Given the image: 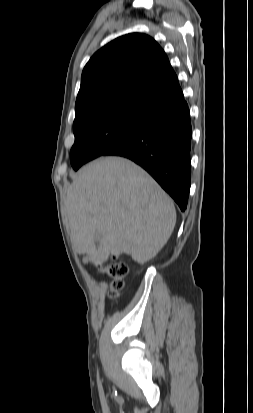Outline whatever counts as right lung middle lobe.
<instances>
[{
	"label": "right lung middle lobe",
	"mask_w": 253,
	"mask_h": 413,
	"mask_svg": "<svg viewBox=\"0 0 253 413\" xmlns=\"http://www.w3.org/2000/svg\"><path fill=\"white\" fill-rule=\"evenodd\" d=\"M151 113L129 107H111L93 111L73 123L75 143L70 161L74 170L113 148L141 130Z\"/></svg>",
	"instance_id": "right-lung-middle-lobe-1"
}]
</instances>
